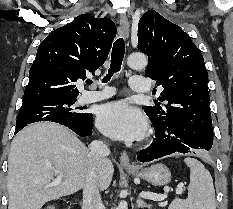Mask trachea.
<instances>
[{"instance_id":"obj_1","label":"trachea","mask_w":233,"mask_h":209,"mask_svg":"<svg viewBox=\"0 0 233 209\" xmlns=\"http://www.w3.org/2000/svg\"><path fill=\"white\" fill-rule=\"evenodd\" d=\"M124 54H125V43L122 38H119L114 42L111 53L110 68L108 70V74L102 80L103 83H107L111 79L113 74L120 71ZM86 83L92 84V80H87Z\"/></svg>"}]
</instances>
